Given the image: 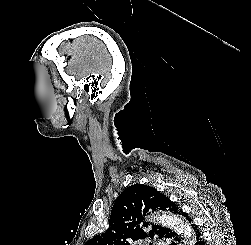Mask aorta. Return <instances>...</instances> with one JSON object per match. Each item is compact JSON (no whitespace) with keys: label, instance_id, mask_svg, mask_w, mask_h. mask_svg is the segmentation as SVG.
<instances>
[{"label":"aorta","instance_id":"aorta-1","mask_svg":"<svg viewBox=\"0 0 251 245\" xmlns=\"http://www.w3.org/2000/svg\"><path fill=\"white\" fill-rule=\"evenodd\" d=\"M151 219L173 229L175 232L182 235L186 242L192 244L193 235L191 226L179 216L164 213L161 215L153 216L151 217Z\"/></svg>","mask_w":251,"mask_h":245}]
</instances>
